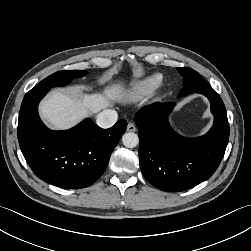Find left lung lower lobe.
<instances>
[{"label":"left lung lower lobe","mask_w":251,"mask_h":251,"mask_svg":"<svg viewBox=\"0 0 251 251\" xmlns=\"http://www.w3.org/2000/svg\"><path fill=\"white\" fill-rule=\"evenodd\" d=\"M188 93L203 94L211 103L214 124L202 137L185 138L169 126L173 102L145 106L134 118L142 173L152 185L167 192L188 190L211 177L229 140L227 112L219 94L208 83L181 90L182 95Z\"/></svg>","instance_id":"obj_1"}]
</instances>
